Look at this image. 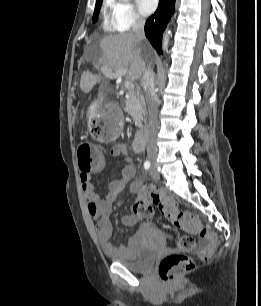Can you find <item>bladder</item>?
I'll list each match as a JSON object with an SVG mask.
<instances>
[{
	"mask_svg": "<svg viewBox=\"0 0 261 306\" xmlns=\"http://www.w3.org/2000/svg\"><path fill=\"white\" fill-rule=\"evenodd\" d=\"M147 239L138 236L134 245L130 247L129 254L123 257L113 255L111 258L118 264L133 272H145L154 264L158 254L163 250V234L157 230L149 229ZM109 256V255H107Z\"/></svg>",
	"mask_w": 261,
	"mask_h": 306,
	"instance_id": "obj_1",
	"label": "bladder"
}]
</instances>
